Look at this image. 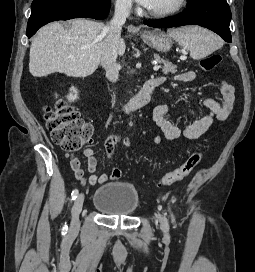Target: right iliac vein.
Listing matches in <instances>:
<instances>
[{"mask_svg":"<svg viewBox=\"0 0 255 272\" xmlns=\"http://www.w3.org/2000/svg\"><path fill=\"white\" fill-rule=\"evenodd\" d=\"M84 203V194L81 193L80 195L77 196L73 208H72V222H71V227L70 230L71 232H76L79 228V214L82 210Z\"/></svg>","mask_w":255,"mask_h":272,"instance_id":"1","label":"right iliac vein"}]
</instances>
